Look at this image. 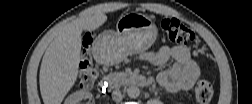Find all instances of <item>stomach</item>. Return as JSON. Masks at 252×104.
Returning a JSON list of instances; mask_svg holds the SVG:
<instances>
[{
  "label": "stomach",
  "mask_w": 252,
  "mask_h": 104,
  "mask_svg": "<svg viewBox=\"0 0 252 104\" xmlns=\"http://www.w3.org/2000/svg\"><path fill=\"white\" fill-rule=\"evenodd\" d=\"M154 21L140 13H127L116 24V31H104L96 39L94 49L103 63L117 64L127 56L139 54L155 42Z\"/></svg>",
  "instance_id": "stomach-1"
}]
</instances>
